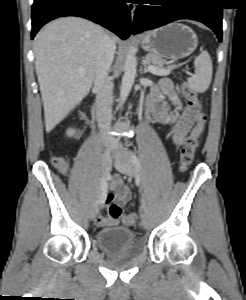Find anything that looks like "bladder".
I'll return each mask as SVG.
<instances>
[{
  "mask_svg": "<svg viewBox=\"0 0 246 300\" xmlns=\"http://www.w3.org/2000/svg\"><path fill=\"white\" fill-rule=\"evenodd\" d=\"M96 246L115 261H127L141 252V244L135 233L125 227L114 226L95 234Z\"/></svg>",
  "mask_w": 246,
  "mask_h": 300,
  "instance_id": "1",
  "label": "bladder"
}]
</instances>
